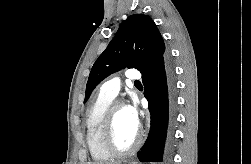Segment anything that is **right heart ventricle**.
<instances>
[{
    "mask_svg": "<svg viewBox=\"0 0 251 164\" xmlns=\"http://www.w3.org/2000/svg\"><path fill=\"white\" fill-rule=\"evenodd\" d=\"M112 100V97L100 93L91 103L86 114V141L90 155L95 161H106L113 156L103 143L104 119Z\"/></svg>",
    "mask_w": 251,
    "mask_h": 164,
    "instance_id": "right-heart-ventricle-1",
    "label": "right heart ventricle"
}]
</instances>
